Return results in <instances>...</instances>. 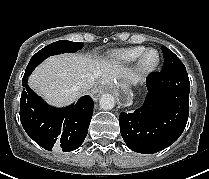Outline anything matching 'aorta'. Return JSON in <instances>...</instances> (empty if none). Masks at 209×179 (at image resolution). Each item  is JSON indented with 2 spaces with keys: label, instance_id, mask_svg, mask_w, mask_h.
<instances>
[{
  "label": "aorta",
  "instance_id": "aorta-1",
  "mask_svg": "<svg viewBox=\"0 0 209 179\" xmlns=\"http://www.w3.org/2000/svg\"><path fill=\"white\" fill-rule=\"evenodd\" d=\"M100 107L104 110H111L115 106V99L111 94H103L99 100Z\"/></svg>",
  "mask_w": 209,
  "mask_h": 179
}]
</instances>
